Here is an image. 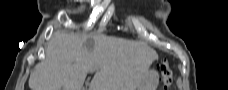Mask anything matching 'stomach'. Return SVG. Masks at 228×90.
<instances>
[{
    "label": "stomach",
    "instance_id": "obj_1",
    "mask_svg": "<svg viewBox=\"0 0 228 90\" xmlns=\"http://www.w3.org/2000/svg\"><path fill=\"white\" fill-rule=\"evenodd\" d=\"M157 83L158 73L155 70H149L145 82L139 86L138 90H154Z\"/></svg>",
    "mask_w": 228,
    "mask_h": 90
}]
</instances>
